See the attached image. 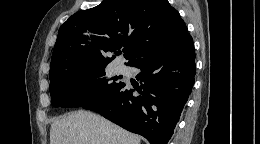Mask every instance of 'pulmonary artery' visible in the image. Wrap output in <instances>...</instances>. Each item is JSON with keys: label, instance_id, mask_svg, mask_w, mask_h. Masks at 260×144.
<instances>
[{"label": "pulmonary artery", "instance_id": "1", "mask_svg": "<svg viewBox=\"0 0 260 144\" xmlns=\"http://www.w3.org/2000/svg\"><path fill=\"white\" fill-rule=\"evenodd\" d=\"M123 69H124V68H123L122 66H118V67H117V70H118V71H123Z\"/></svg>", "mask_w": 260, "mask_h": 144}]
</instances>
